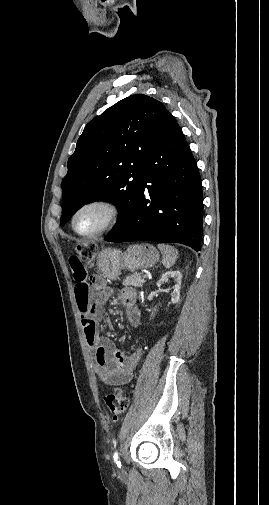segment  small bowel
Returning <instances> with one entry per match:
<instances>
[{"mask_svg":"<svg viewBox=\"0 0 269 505\" xmlns=\"http://www.w3.org/2000/svg\"><path fill=\"white\" fill-rule=\"evenodd\" d=\"M69 268L73 270L77 305L82 318V327L87 345L93 351L98 378L107 385H123L130 382L135 367L142 357L143 350L137 349L130 355L116 349L111 339L99 335V323L106 319L103 304L110 291L105 289L104 280L96 275L92 283L96 288L104 289L100 295H90L87 283V271L82 268L80 259H71ZM87 287V289L85 288ZM120 301L128 308V319L137 325L140 313L135 307L136 295L132 289H123L119 293Z\"/></svg>","mask_w":269,"mask_h":505,"instance_id":"small-bowel-1","label":"small bowel"}]
</instances>
